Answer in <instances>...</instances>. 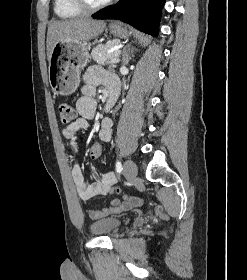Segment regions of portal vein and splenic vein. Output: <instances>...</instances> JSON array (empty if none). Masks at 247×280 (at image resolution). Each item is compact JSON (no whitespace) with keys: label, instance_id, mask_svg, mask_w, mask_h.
I'll return each mask as SVG.
<instances>
[{"label":"portal vein and splenic vein","instance_id":"obj_1","mask_svg":"<svg viewBox=\"0 0 247 280\" xmlns=\"http://www.w3.org/2000/svg\"><path fill=\"white\" fill-rule=\"evenodd\" d=\"M117 50H118V47L112 49V51L113 52L116 51V53H115V57L110 61V63H118L120 61V59H119L120 51L117 52Z\"/></svg>","mask_w":247,"mask_h":280}]
</instances>
